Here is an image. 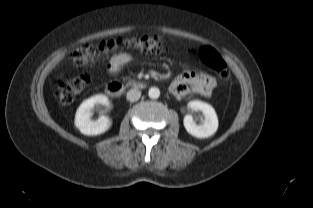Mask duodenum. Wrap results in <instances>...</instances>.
<instances>
[{
    "label": "duodenum",
    "instance_id": "1",
    "mask_svg": "<svg viewBox=\"0 0 313 208\" xmlns=\"http://www.w3.org/2000/svg\"><path fill=\"white\" fill-rule=\"evenodd\" d=\"M144 84L142 82H128L123 83L119 81H112L106 85V93L111 97L121 96L127 89H142Z\"/></svg>",
    "mask_w": 313,
    "mask_h": 208
}]
</instances>
